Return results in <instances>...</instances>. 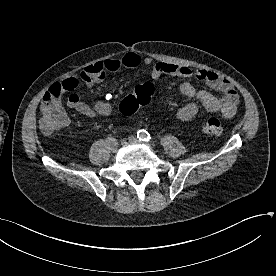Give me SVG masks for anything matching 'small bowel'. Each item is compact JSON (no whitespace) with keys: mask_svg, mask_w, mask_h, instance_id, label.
I'll list each match as a JSON object with an SVG mask.
<instances>
[{"mask_svg":"<svg viewBox=\"0 0 276 276\" xmlns=\"http://www.w3.org/2000/svg\"><path fill=\"white\" fill-rule=\"evenodd\" d=\"M140 65L150 67L151 76L155 79L162 75H170L181 78H196L206 83L210 88L220 92V96H215L205 90H197L194 85L185 81L180 86L181 93L193 99L182 106L176 113L177 119L188 121L192 119L200 110L204 108L211 113H219L226 118H231L236 114L239 96L229 80L217 73L206 70H192L187 66L177 65L167 62H154L150 57H142L137 53L130 52L120 59H106L86 66L80 73L69 76L60 82L67 80L76 81L79 85L87 88L102 82L108 74L115 73L122 68H136ZM44 95L41 108L46 105ZM113 94L106 93L103 98L96 99L91 105L81 101L75 93L69 95L67 99L68 107L76 110L81 115L88 118L104 117L113 110Z\"/></svg>","mask_w":276,"mask_h":276,"instance_id":"1","label":"small bowel"}]
</instances>
